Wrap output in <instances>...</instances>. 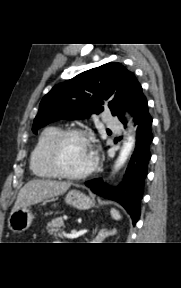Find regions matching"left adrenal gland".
<instances>
[{
  "label": "left adrenal gland",
  "mask_w": 181,
  "mask_h": 288,
  "mask_svg": "<svg viewBox=\"0 0 181 288\" xmlns=\"http://www.w3.org/2000/svg\"><path fill=\"white\" fill-rule=\"evenodd\" d=\"M115 233H116V229H112V230L101 229L99 233L97 234V236L93 239V243H102V241L106 237L110 235H114Z\"/></svg>",
  "instance_id": "a2214340"
}]
</instances>
